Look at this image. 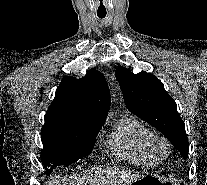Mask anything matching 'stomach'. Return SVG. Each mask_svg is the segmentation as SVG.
Segmentation results:
<instances>
[{
  "label": "stomach",
  "mask_w": 207,
  "mask_h": 185,
  "mask_svg": "<svg viewBox=\"0 0 207 185\" xmlns=\"http://www.w3.org/2000/svg\"><path fill=\"white\" fill-rule=\"evenodd\" d=\"M131 185H181V183L162 179L154 175H145L132 182Z\"/></svg>",
  "instance_id": "obj_1"
}]
</instances>
